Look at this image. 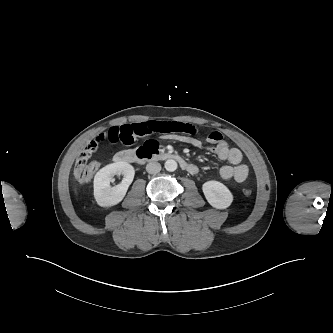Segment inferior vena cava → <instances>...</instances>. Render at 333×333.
I'll use <instances>...</instances> for the list:
<instances>
[{"label": "inferior vena cava", "mask_w": 333, "mask_h": 333, "mask_svg": "<svg viewBox=\"0 0 333 333\" xmlns=\"http://www.w3.org/2000/svg\"><path fill=\"white\" fill-rule=\"evenodd\" d=\"M146 170L150 174H156L161 171V165L158 162H151V163L147 164Z\"/></svg>", "instance_id": "602c4592"}]
</instances>
